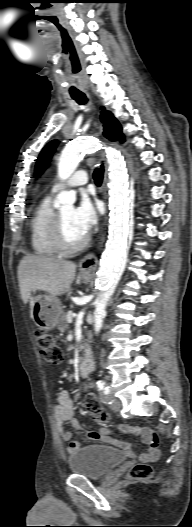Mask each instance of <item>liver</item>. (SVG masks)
<instances>
[{"mask_svg":"<svg viewBox=\"0 0 192 527\" xmlns=\"http://www.w3.org/2000/svg\"><path fill=\"white\" fill-rule=\"evenodd\" d=\"M76 264L71 261L39 255L24 256L18 266L21 298L29 301L32 292L45 291L48 295H71Z\"/></svg>","mask_w":192,"mask_h":527,"instance_id":"obj_1","label":"liver"}]
</instances>
